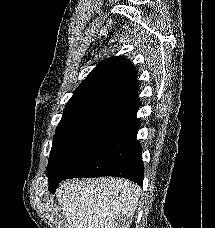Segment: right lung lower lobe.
Listing matches in <instances>:
<instances>
[{
	"label": "right lung lower lobe",
	"mask_w": 215,
	"mask_h": 228,
	"mask_svg": "<svg viewBox=\"0 0 215 228\" xmlns=\"http://www.w3.org/2000/svg\"><path fill=\"white\" fill-rule=\"evenodd\" d=\"M139 126L140 122L130 125L71 169L62 180L75 177L116 176L125 177L142 186L144 174L142 148L136 139ZM58 185L51 193H55Z\"/></svg>",
	"instance_id": "obj_1"
}]
</instances>
